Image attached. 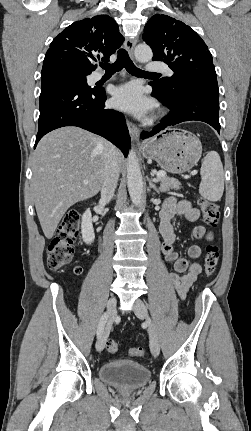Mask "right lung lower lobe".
Instances as JSON below:
<instances>
[{"instance_id": "obj_1", "label": "right lung lower lobe", "mask_w": 251, "mask_h": 431, "mask_svg": "<svg viewBox=\"0 0 251 431\" xmlns=\"http://www.w3.org/2000/svg\"><path fill=\"white\" fill-rule=\"evenodd\" d=\"M106 93L102 88H87L64 75L42 77L39 99V140L48 132L77 126L103 136L123 152L130 147V136L122 113L105 108Z\"/></svg>"}]
</instances>
